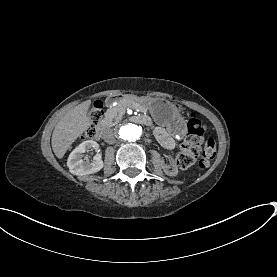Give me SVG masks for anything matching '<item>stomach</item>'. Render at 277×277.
<instances>
[{"label": "stomach", "mask_w": 277, "mask_h": 277, "mask_svg": "<svg viewBox=\"0 0 277 277\" xmlns=\"http://www.w3.org/2000/svg\"><path fill=\"white\" fill-rule=\"evenodd\" d=\"M136 101L145 105L153 118L169 130L179 131L184 126L182 108L177 102L162 98H137Z\"/></svg>", "instance_id": "0dacf381"}]
</instances>
